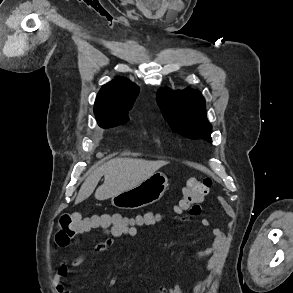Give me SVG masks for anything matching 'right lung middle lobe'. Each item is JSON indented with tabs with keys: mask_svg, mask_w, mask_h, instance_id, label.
<instances>
[{
	"mask_svg": "<svg viewBox=\"0 0 293 293\" xmlns=\"http://www.w3.org/2000/svg\"><path fill=\"white\" fill-rule=\"evenodd\" d=\"M129 118L125 115H118V116H109V117H104L101 119H97V122L100 127L102 128H110V127H115L120 124H123L127 122Z\"/></svg>",
	"mask_w": 293,
	"mask_h": 293,
	"instance_id": "dd1d6c3e",
	"label": "right lung middle lobe"
}]
</instances>
